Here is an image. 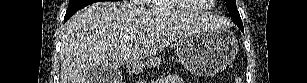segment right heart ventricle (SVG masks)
I'll return each instance as SVG.
<instances>
[{
    "instance_id": "1",
    "label": "right heart ventricle",
    "mask_w": 307,
    "mask_h": 83,
    "mask_svg": "<svg viewBox=\"0 0 307 83\" xmlns=\"http://www.w3.org/2000/svg\"><path fill=\"white\" fill-rule=\"evenodd\" d=\"M149 7L160 12H170L177 10L173 0L150 1ZM206 7L210 8V5H206Z\"/></svg>"
}]
</instances>
